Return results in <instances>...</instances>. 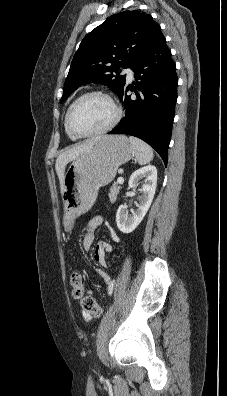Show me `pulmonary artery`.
<instances>
[{"mask_svg":"<svg viewBox=\"0 0 227 396\" xmlns=\"http://www.w3.org/2000/svg\"><path fill=\"white\" fill-rule=\"evenodd\" d=\"M126 73L129 79H132L134 77V72L131 68L126 69Z\"/></svg>","mask_w":227,"mask_h":396,"instance_id":"1","label":"pulmonary artery"}]
</instances>
